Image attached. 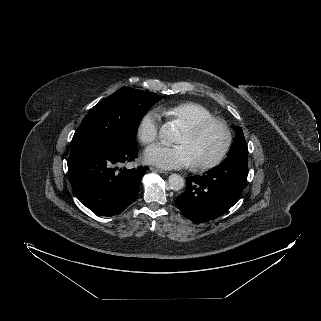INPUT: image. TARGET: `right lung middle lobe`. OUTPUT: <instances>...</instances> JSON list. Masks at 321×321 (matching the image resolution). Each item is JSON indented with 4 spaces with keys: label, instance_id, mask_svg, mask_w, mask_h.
I'll return each instance as SVG.
<instances>
[{
    "label": "right lung middle lobe",
    "instance_id": "right-lung-middle-lobe-1",
    "mask_svg": "<svg viewBox=\"0 0 321 321\" xmlns=\"http://www.w3.org/2000/svg\"><path fill=\"white\" fill-rule=\"evenodd\" d=\"M162 96L133 88H121L92 107L72 138V144L92 141L131 146L144 113Z\"/></svg>",
    "mask_w": 321,
    "mask_h": 321
}]
</instances>
